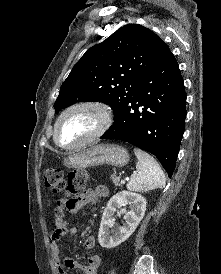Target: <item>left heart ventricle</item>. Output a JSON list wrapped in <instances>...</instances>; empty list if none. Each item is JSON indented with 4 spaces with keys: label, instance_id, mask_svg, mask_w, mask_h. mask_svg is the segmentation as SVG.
<instances>
[{
    "label": "left heart ventricle",
    "instance_id": "left-heart-ventricle-1",
    "mask_svg": "<svg viewBox=\"0 0 221 274\" xmlns=\"http://www.w3.org/2000/svg\"><path fill=\"white\" fill-rule=\"evenodd\" d=\"M98 117L92 110H75L60 123L58 139L62 144H76L88 137L97 127Z\"/></svg>",
    "mask_w": 221,
    "mask_h": 274
}]
</instances>
